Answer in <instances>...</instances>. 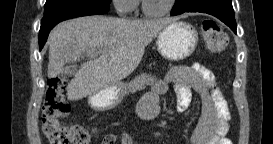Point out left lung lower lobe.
<instances>
[{
  "label": "left lung lower lobe",
  "mask_w": 273,
  "mask_h": 144,
  "mask_svg": "<svg viewBox=\"0 0 273 144\" xmlns=\"http://www.w3.org/2000/svg\"><path fill=\"white\" fill-rule=\"evenodd\" d=\"M184 12H202L213 15L236 33V21L231 0H185L179 5H174L171 15L176 16Z\"/></svg>",
  "instance_id": "1"
}]
</instances>
